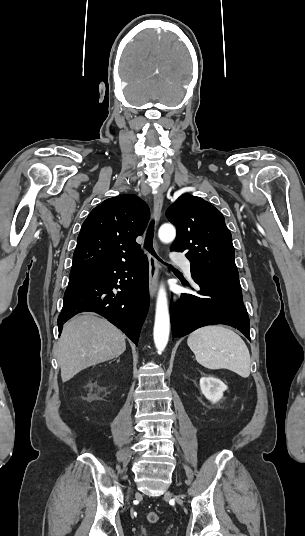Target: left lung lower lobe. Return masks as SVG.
<instances>
[{"mask_svg": "<svg viewBox=\"0 0 305 536\" xmlns=\"http://www.w3.org/2000/svg\"><path fill=\"white\" fill-rule=\"evenodd\" d=\"M192 278L201 290L182 294L178 303L171 305L173 337H183L203 326L225 324L237 328L250 340V322L239 280Z\"/></svg>", "mask_w": 305, "mask_h": 536, "instance_id": "0a47b994", "label": "left lung lower lobe"}]
</instances>
